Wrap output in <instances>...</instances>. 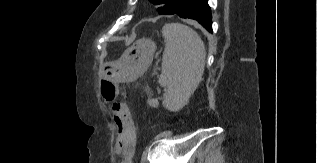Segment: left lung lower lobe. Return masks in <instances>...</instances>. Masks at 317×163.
Returning a JSON list of instances; mask_svg holds the SVG:
<instances>
[{
  "instance_id": "left-lung-lower-lobe-1",
  "label": "left lung lower lobe",
  "mask_w": 317,
  "mask_h": 163,
  "mask_svg": "<svg viewBox=\"0 0 317 163\" xmlns=\"http://www.w3.org/2000/svg\"><path fill=\"white\" fill-rule=\"evenodd\" d=\"M182 18L197 20L208 32L212 31L211 11L207 0H183L173 13Z\"/></svg>"
}]
</instances>
